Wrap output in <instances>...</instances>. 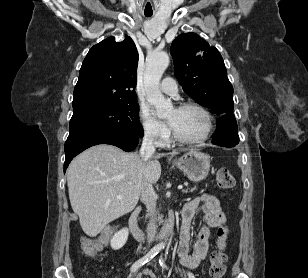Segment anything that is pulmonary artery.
<instances>
[{
	"instance_id": "pulmonary-artery-1",
	"label": "pulmonary artery",
	"mask_w": 308,
	"mask_h": 278,
	"mask_svg": "<svg viewBox=\"0 0 308 278\" xmlns=\"http://www.w3.org/2000/svg\"><path fill=\"white\" fill-rule=\"evenodd\" d=\"M160 89L162 92L169 94L171 96H177L178 88L176 82L170 78L166 77L163 79Z\"/></svg>"
}]
</instances>
